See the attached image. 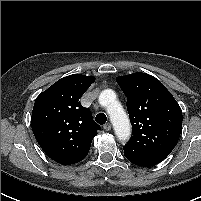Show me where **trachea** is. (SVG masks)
Returning a JSON list of instances; mask_svg holds the SVG:
<instances>
[{
	"instance_id": "1",
	"label": "trachea",
	"mask_w": 201,
	"mask_h": 201,
	"mask_svg": "<svg viewBox=\"0 0 201 201\" xmlns=\"http://www.w3.org/2000/svg\"><path fill=\"white\" fill-rule=\"evenodd\" d=\"M95 120L98 124L103 125L106 123L107 117L104 113H99L96 115Z\"/></svg>"
}]
</instances>
